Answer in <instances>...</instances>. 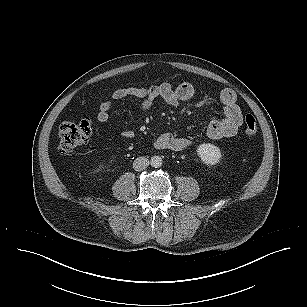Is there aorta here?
I'll return each mask as SVG.
<instances>
[{
    "label": "aorta",
    "instance_id": "aorta-1",
    "mask_svg": "<svg viewBox=\"0 0 307 307\" xmlns=\"http://www.w3.org/2000/svg\"><path fill=\"white\" fill-rule=\"evenodd\" d=\"M162 158L160 156H153L150 160V165L154 168H159L162 165Z\"/></svg>",
    "mask_w": 307,
    "mask_h": 307
}]
</instances>
